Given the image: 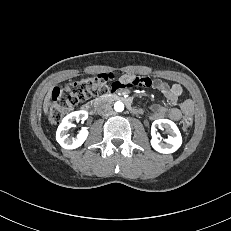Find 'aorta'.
I'll use <instances>...</instances> for the list:
<instances>
[{"label":"aorta","instance_id":"1","mask_svg":"<svg viewBox=\"0 0 231 231\" xmlns=\"http://www.w3.org/2000/svg\"><path fill=\"white\" fill-rule=\"evenodd\" d=\"M114 110L116 112H122L124 110V104L122 102H120V101L115 102Z\"/></svg>","mask_w":231,"mask_h":231}]
</instances>
